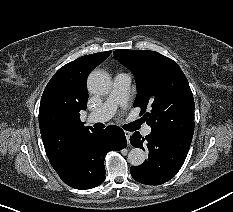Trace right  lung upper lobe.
Instances as JSON below:
<instances>
[{"label": "right lung upper lobe", "mask_w": 233, "mask_h": 212, "mask_svg": "<svg viewBox=\"0 0 233 212\" xmlns=\"http://www.w3.org/2000/svg\"><path fill=\"white\" fill-rule=\"evenodd\" d=\"M111 51L80 57L61 67L47 84L40 102L39 127L46 154L53 168L59 169L80 150L93 128L80 121L87 108L86 80Z\"/></svg>", "instance_id": "obj_1"}]
</instances>
